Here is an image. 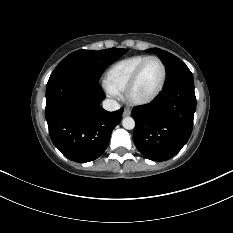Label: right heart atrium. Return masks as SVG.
I'll list each match as a JSON object with an SVG mask.
<instances>
[{
	"label": "right heart atrium",
	"instance_id": "d8ad5b80",
	"mask_svg": "<svg viewBox=\"0 0 233 233\" xmlns=\"http://www.w3.org/2000/svg\"><path fill=\"white\" fill-rule=\"evenodd\" d=\"M105 89H106L107 93L110 96H113V97H117L118 96V93H116L115 91L111 90L109 87L105 86Z\"/></svg>",
	"mask_w": 233,
	"mask_h": 233
}]
</instances>
